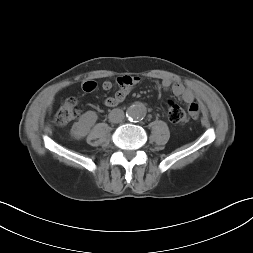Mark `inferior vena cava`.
<instances>
[{
    "instance_id": "602c4592",
    "label": "inferior vena cava",
    "mask_w": 253,
    "mask_h": 253,
    "mask_svg": "<svg viewBox=\"0 0 253 253\" xmlns=\"http://www.w3.org/2000/svg\"><path fill=\"white\" fill-rule=\"evenodd\" d=\"M124 119V112L121 109H113L109 114V120L112 123H119Z\"/></svg>"
}]
</instances>
